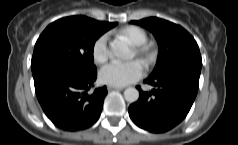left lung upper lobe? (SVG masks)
<instances>
[{
  "instance_id": "1",
  "label": "left lung upper lobe",
  "mask_w": 238,
  "mask_h": 145,
  "mask_svg": "<svg viewBox=\"0 0 238 145\" xmlns=\"http://www.w3.org/2000/svg\"><path fill=\"white\" fill-rule=\"evenodd\" d=\"M151 31L159 45L157 64L150 77L186 68L202 67L199 47L181 26L156 17L131 21Z\"/></svg>"
}]
</instances>
